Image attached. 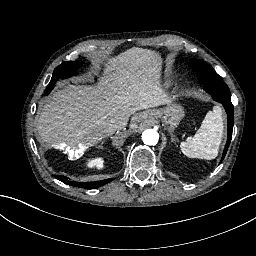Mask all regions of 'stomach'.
Masks as SVG:
<instances>
[{
	"mask_svg": "<svg viewBox=\"0 0 256 256\" xmlns=\"http://www.w3.org/2000/svg\"><path fill=\"white\" fill-rule=\"evenodd\" d=\"M148 117H139L138 122L143 119H148L147 123L150 122H161L162 126L167 130H174L184 118L185 112L182 105L173 102L167 103L164 107L148 111Z\"/></svg>",
	"mask_w": 256,
	"mask_h": 256,
	"instance_id": "0dacf381",
	"label": "stomach"
}]
</instances>
